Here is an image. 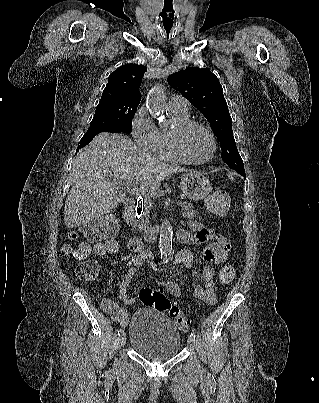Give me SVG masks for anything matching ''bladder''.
Here are the masks:
<instances>
[{
  "label": "bladder",
  "instance_id": "obj_1",
  "mask_svg": "<svg viewBox=\"0 0 319 403\" xmlns=\"http://www.w3.org/2000/svg\"><path fill=\"white\" fill-rule=\"evenodd\" d=\"M129 343L141 357L165 361L181 348V335L173 320L155 309H138L128 321Z\"/></svg>",
  "mask_w": 319,
  "mask_h": 403
}]
</instances>
